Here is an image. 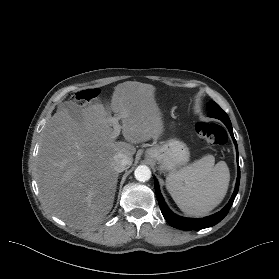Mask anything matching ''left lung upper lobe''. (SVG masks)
<instances>
[{
  "mask_svg": "<svg viewBox=\"0 0 279 279\" xmlns=\"http://www.w3.org/2000/svg\"><path fill=\"white\" fill-rule=\"evenodd\" d=\"M208 116L217 118L224 122H230L228 115L214 101L210 103Z\"/></svg>",
  "mask_w": 279,
  "mask_h": 279,
  "instance_id": "1",
  "label": "left lung upper lobe"
}]
</instances>
